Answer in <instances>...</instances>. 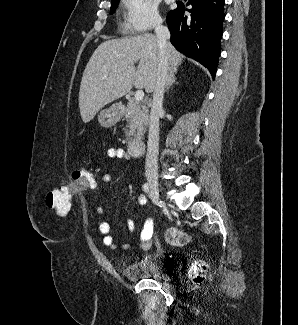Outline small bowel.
<instances>
[{"mask_svg": "<svg viewBox=\"0 0 298 325\" xmlns=\"http://www.w3.org/2000/svg\"><path fill=\"white\" fill-rule=\"evenodd\" d=\"M107 155L108 157L112 158V159H119V160H125V161H129L131 159V156L121 147H111L108 149L107 151ZM101 180L105 183H109L112 180V175L109 172H103L101 174ZM138 203L141 205H144L146 203V199L143 195H140L138 197ZM97 213L99 215H104L106 213V209L103 205H99L97 207ZM126 224L127 227L130 231L134 230V224L132 222V220H130L129 218H126ZM111 231V226L109 224V222L107 221H103L100 223L99 225V232L100 234L103 236V244L107 247L110 248H117V245L114 241V238L112 237V235L110 234ZM153 235V223L152 220L148 219L145 221L142 232H141V240H145L148 238H151ZM129 245L128 244H123L122 247L123 248H127Z\"/></svg>", "mask_w": 298, "mask_h": 325, "instance_id": "small-bowel-1", "label": "small bowel"}]
</instances>
